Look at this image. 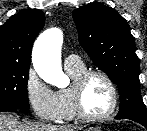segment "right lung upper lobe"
<instances>
[{
    "label": "right lung upper lobe",
    "mask_w": 147,
    "mask_h": 131,
    "mask_svg": "<svg viewBox=\"0 0 147 131\" xmlns=\"http://www.w3.org/2000/svg\"><path fill=\"white\" fill-rule=\"evenodd\" d=\"M45 23V15L25 9L0 26V64L30 66L35 37Z\"/></svg>",
    "instance_id": "right-lung-upper-lobe-1"
}]
</instances>
